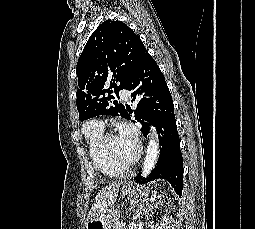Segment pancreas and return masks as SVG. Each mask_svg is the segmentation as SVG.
<instances>
[{
	"label": "pancreas",
	"instance_id": "pancreas-1",
	"mask_svg": "<svg viewBox=\"0 0 255 229\" xmlns=\"http://www.w3.org/2000/svg\"><path fill=\"white\" fill-rule=\"evenodd\" d=\"M113 229H126V228H124V227H119V223L116 222V223L114 224V226H113Z\"/></svg>",
	"mask_w": 255,
	"mask_h": 229
}]
</instances>
